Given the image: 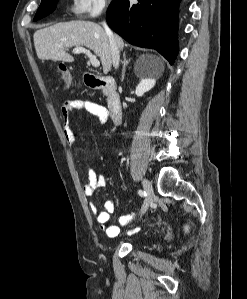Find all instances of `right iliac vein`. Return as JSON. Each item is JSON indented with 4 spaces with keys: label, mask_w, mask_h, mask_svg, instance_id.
<instances>
[{
    "label": "right iliac vein",
    "mask_w": 247,
    "mask_h": 299,
    "mask_svg": "<svg viewBox=\"0 0 247 299\" xmlns=\"http://www.w3.org/2000/svg\"><path fill=\"white\" fill-rule=\"evenodd\" d=\"M143 188L146 192V198L144 201V205L140 211V215H143L144 213H146V211L149 209L150 205L152 204L153 198H154V192H153L152 185L147 179L143 180Z\"/></svg>",
    "instance_id": "right-iliac-vein-1"
}]
</instances>
